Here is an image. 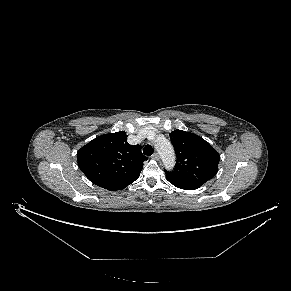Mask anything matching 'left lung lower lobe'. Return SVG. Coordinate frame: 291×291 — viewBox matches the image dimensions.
Returning <instances> with one entry per match:
<instances>
[{
	"label": "left lung lower lobe",
	"instance_id": "obj_1",
	"mask_svg": "<svg viewBox=\"0 0 291 291\" xmlns=\"http://www.w3.org/2000/svg\"><path fill=\"white\" fill-rule=\"evenodd\" d=\"M174 186H176L180 189H184V190H195V189L200 187V186H181V185H174Z\"/></svg>",
	"mask_w": 291,
	"mask_h": 291
}]
</instances>
